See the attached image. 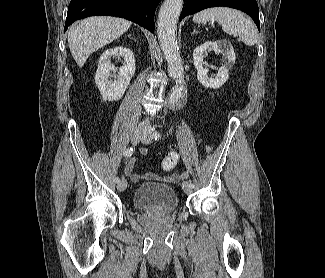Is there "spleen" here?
I'll list each match as a JSON object with an SVG mask.
<instances>
[{
  "mask_svg": "<svg viewBox=\"0 0 325 278\" xmlns=\"http://www.w3.org/2000/svg\"><path fill=\"white\" fill-rule=\"evenodd\" d=\"M196 23L218 22L229 35H238L242 41L252 46L257 43V30L243 13L227 7L208 8L193 16Z\"/></svg>",
  "mask_w": 325,
  "mask_h": 278,
  "instance_id": "obj_1",
  "label": "spleen"
}]
</instances>
